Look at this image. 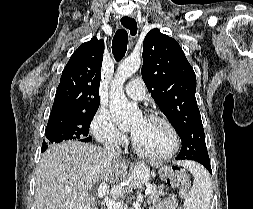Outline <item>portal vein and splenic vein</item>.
I'll use <instances>...</instances> for the list:
<instances>
[{"instance_id":"obj_1","label":"portal vein and splenic vein","mask_w":253,"mask_h":209,"mask_svg":"<svg viewBox=\"0 0 253 209\" xmlns=\"http://www.w3.org/2000/svg\"><path fill=\"white\" fill-rule=\"evenodd\" d=\"M107 186L100 184L98 187V196L104 198V202L108 209H122V205L114 200H111L106 196ZM152 192V186H148L145 190V194L149 195Z\"/></svg>"}]
</instances>
